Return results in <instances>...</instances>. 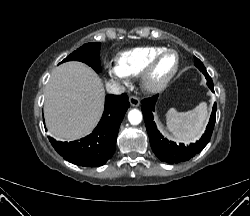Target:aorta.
<instances>
[{"mask_svg":"<svg viewBox=\"0 0 250 216\" xmlns=\"http://www.w3.org/2000/svg\"><path fill=\"white\" fill-rule=\"evenodd\" d=\"M128 120L131 124L137 125L142 121V113L138 109H132L128 113Z\"/></svg>","mask_w":250,"mask_h":216,"instance_id":"762f6f07","label":"aorta"}]
</instances>
